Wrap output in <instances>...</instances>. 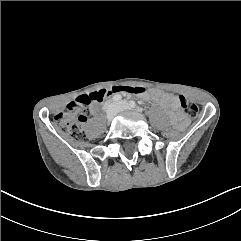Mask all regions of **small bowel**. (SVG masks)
<instances>
[{"instance_id": "c3829d8e", "label": "small bowel", "mask_w": 241, "mask_h": 241, "mask_svg": "<svg viewBox=\"0 0 241 241\" xmlns=\"http://www.w3.org/2000/svg\"><path fill=\"white\" fill-rule=\"evenodd\" d=\"M145 98H149L157 102L163 108L170 109L172 118L182 126L184 120L182 116L179 114V103L175 96L169 93L161 92V91H153L150 94L143 93Z\"/></svg>"}]
</instances>
